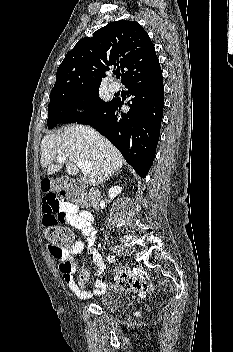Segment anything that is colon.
<instances>
[{"label": "colon", "instance_id": "1", "mask_svg": "<svg viewBox=\"0 0 233 352\" xmlns=\"http://www.w3.org/2000/svg\"><path fill=\"white\" fill-rule=\"evenodd\" d=\"M64 194L66 193L64 192ZM69 196L75 201H83L84 199L79 193H73ZM44 227L45 237L52 246L59 249H67L69 247L72 237L68 229L58 225L57 222H46L44 223ZM114 280L123 285L126 291L132 294L145 297L154 292L152 282L138 277L127 267L117 268ZM89 282L90 269L86 268L77 275V285L80 289L84 290Z\"/></svg>", "mask_w": 233, "mask_h": 352}]
</instances>
